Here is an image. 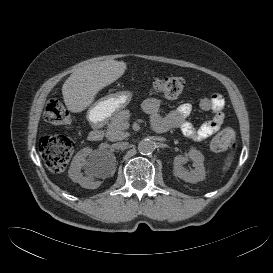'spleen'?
<instances>
[{
	"instance_id": "3e777b00",
	"label": "spleen",
	"mask_w": 273,
	"mask_h": 273,
	"mask_svg": "<svg viewBox=\"0 0 273 273\" xmlns=\"http://www.w3.org/2000/svg\"><path fill=\"white\" fill-rule=\"evenodd\" d=\"M232 159H233V157H231V156L227 158V160H226V163H225V166H224L223 170H227V169L230 167L231 162H232Z\"/></svg>"
}]
</instances>
